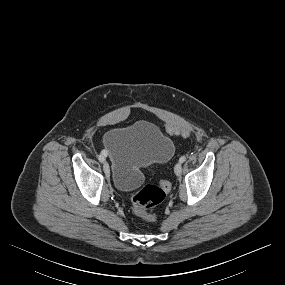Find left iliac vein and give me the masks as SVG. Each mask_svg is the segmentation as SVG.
Listing matches in <instances>:
<instances>
[{"label":"left iliac vein","instance_id":"left-iliac-vein-1","mask_svg":"<svg viewBox=\"0 0 285 285\" xmlns=\"http://www.w3.org/2000/svg\"><path fill=\"white\" fill-rule=\"evenodd\" d=\"M174 172L177 176H179L182 173V164L178 162L174 167Z\"/></svg>","mask_w":285,"mask_h":285}]
</instances>
